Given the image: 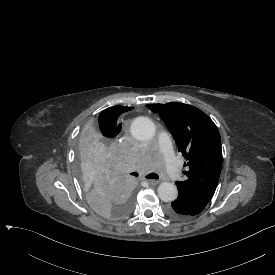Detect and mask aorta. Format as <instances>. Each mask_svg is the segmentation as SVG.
<instances>
[{"label":"aorta","mask_w":275,"mask_h":275,"mask_svg":"<svg viewBox=\"0 0 275 275\" xmlns=\"http://www.w3.org/2000/svg\"><path fill=\"white\" fill-rule=\"evenodd\" d=\"M130 132L134 138L145 141L154 136L155 126L152 120L140 116L132 121ZM158 196L163 202H173L178 197L177 187L169 182L162 183L158 187Z\"/></svg>","instance_id":"1"}]
</instances>
